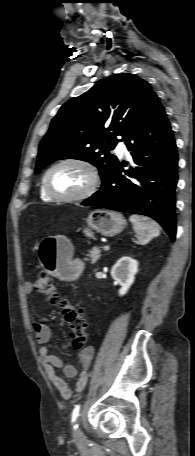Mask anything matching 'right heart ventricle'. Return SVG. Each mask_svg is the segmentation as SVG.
Listing matches in <instances>:
<instances>
[{
  "mask_svg": "<svg viewBox=\"0 0 195 456\" xmlns=\"http://www.w3.org/2000/svg\"><path fill=\"white\" fill-rule=\"evenodd\" d=\"M39 194H40V198L44 201H51L52 199L47 196V194L45 193L44 189H43V186H42V183L40 184V188H39Z\"/></svg>",
  "mask_w": 195,
  "mask_h": 456,
  "instance_id": "obj_1",
  "label": "right heart ventricle"
}]
</instances>
